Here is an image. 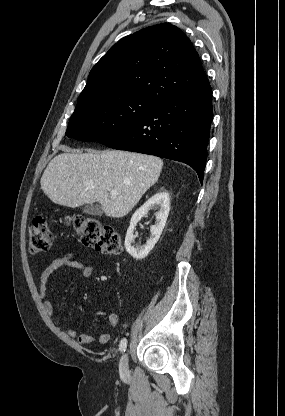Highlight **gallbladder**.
<instances>
[{
    "mask_svg": "<svg viewBox=\"0 0 285 416\" xmlns=\"http://www.w3.org/2000/svg\"><path fill=\"white\" fill-rule=\"evenodd\" d=\"M83 212L84 214H90V216H102L104 214L100 204H85Z\"/></svg>",
    "mask_w": 285,
    "mask_h": 416,
    "instance_id": "1",
    "label": "gallbladder"
}]
</instances>
